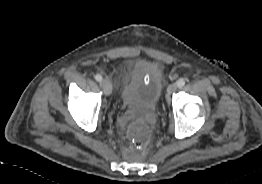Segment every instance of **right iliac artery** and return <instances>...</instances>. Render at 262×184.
<instances>
[{
	"label": "right iliac artery",
	"instance_id": "1",
	"mask_svg": "<svg viewBox=\"0 0 262 184\" xmlns=\"http://www.w3.org/2000/svg\"><path fill=\"white\" fill-rule=\"evenodd\" d=\"M95 79H96L98 82H101V81L103 80L102 76L99 75V74H97V75L95 76Z\"/></svg>",
	"mask_w": 262,
	"mask_h": 184
}]
</instances>
